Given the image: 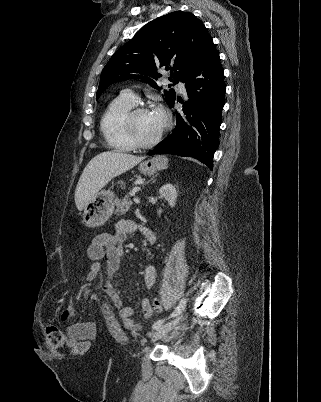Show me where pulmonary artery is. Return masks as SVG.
<instances>
[{
	"mask_svg": "<svg viewBox=\"0 0 321 402\" xmlns=\"http://www.w3.org/2000/svg\"><path fill=\"white\" fill-rule=\"evenodd\" d=\"M178 90H179L181 93H185V86H184V83L179 82ZM120 97H121L122 99L126 100V101H129V102L133 103V104H136V103L138 102V96H137L132 90H125V91H123V93L121 94Z\"/></svg>",
	"mask_w": 321,
	"mask_h": 402,
	"instance_id": "obj_1",
	"label": "pulmonary artery"
}]
</instances>
